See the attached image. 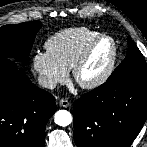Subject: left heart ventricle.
Here are the masks:
<instances>
[{
    "label": "left heart ventricle",
    "instance_id": "b2bd125f",
    "mask_svg": "<svg viewBox=\"0 0 147 147\" xmlns=\"http://www.w3.org/2000/svg\"><path fill=\"white\" fill-rule=\"evenodd\" d=\"M112 46L109 40H102L94 48L90 58L83 67L80 78L89 81L98 76L107 66Z\"/></svg>",
    "mask_w": 147,
    "mask_h": 147
}]
</instances>
